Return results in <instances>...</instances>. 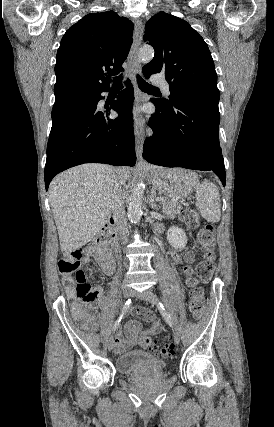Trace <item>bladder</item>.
Masks as SVG:
<instances>
[{"label":"bladder","mask_w":274,"mask_h":427,"mask_svg":"<svg viewBox=\"0 0 274 427\" xmlns=\"http://www.w3.org/2000/svg\"><path fill=\"white\" fill-rule=\"evenodd\" d=\"M117 371L124 375L137 372H147L154 375H166L167 363L165 360L153 357L151 353L142 350L125 352L116 356Z\"/></svg>","instance_id":"obj_1"}]
</instances>
